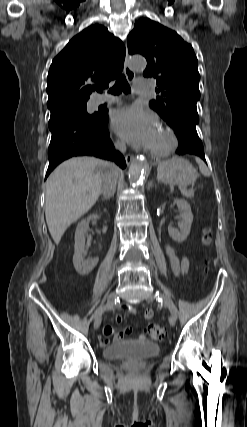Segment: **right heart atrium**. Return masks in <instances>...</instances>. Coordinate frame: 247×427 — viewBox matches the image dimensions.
Returning <instances> with one entry per match:
<instances>
[{
	"label": "right heart atrium",
	"mask_w": 247,
	"mask_h": 427,
	"mask_svg": "<svg viewBox=\"0 0 247 427\" xmlns=\"http://www.w3.org/2000/svg\"><path fill=\"white\" fill-rule=\"evenodd\" d=\"M116 146L117 147H121V143L120 142H116Z\"/></svg>",
	"instance_id": "d8ad5b80"
}]
</instances>
